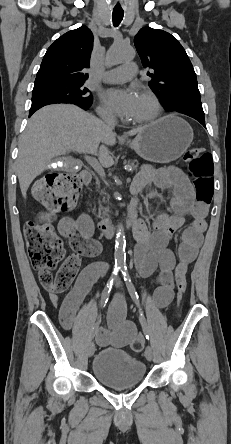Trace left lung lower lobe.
<instances>
[{
    "mask_svg": "<svg viewBox=\"0 0 231 444\" xmlns=\"http://www.w3.org/2000/svg\"><path fill=\"white\" fill-rule=\"evenodd\" d=\"M191 117H193L194 119L199 121L205 127V119H204V117H199V116H191Z\"/></svg>",
    "mask_w": 231,
    "mask_h": 444,
    "instance_id": "0a47b994",
    "label": "left lung lower lobe"
}]
</instances>
